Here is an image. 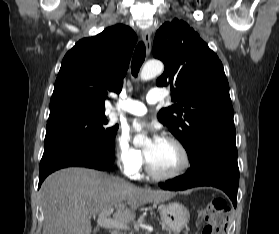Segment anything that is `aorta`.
<instances>
[{"mask_svg":"<svg viewBox=\"0 0 279 234\" xmlns=\"http://www.w3.org/2000/svg\"><path fill=\"white\" fill-rule=\"evenodd\" d=\"M163 70H164V65L161 61L151 60L146 62V64L142 68L140 77L143 81H147L161 74ZM143 140H144L143 135H137L134 139L135 142H141Z\"/></svg>","mask_w":279,"mask_h":234,"instance_id":"aorta-1","label":"aorta"}]
</instances>
